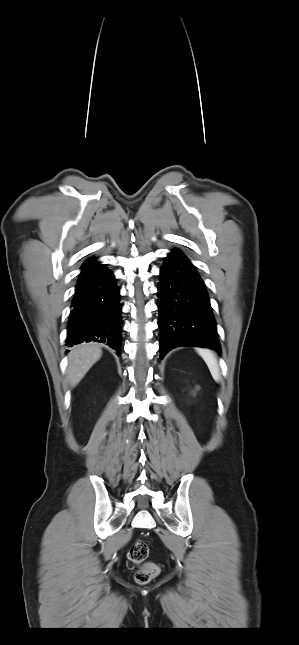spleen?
Wrapping results in <instances>:
<instances>
[{"mask_svg": "<svg viewBox=\"0 0 299 645\" xmlns=\"http://www.w3.org/2000/svg\"><path fill=\"white\" fill-rule=\"evenodd\" d=\"M197 352L207 364L213 379L216 382H219L220 380L219 366L213 352L204 348H198Z\"/></svg>", "mask_w": 299, "mask_h": 645, "instance_id": "obj_1", "label": "spleen"}]
</instances>
